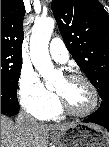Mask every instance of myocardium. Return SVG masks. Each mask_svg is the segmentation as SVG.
<instances>
[{
	"mask_svg": "<svg viewBox=\"0 0 109 147\" xmlns=\"http://www.w3.org/2000/svg\"><path fill=\"white\" fill-rule=\"evenodd\" d=\"M66 79L68 81L81 80V81L85 82L92 91L93 103L89 109H87L85 111H77L72 108L69 101L67 100V98L64 95L56 92L57 97H58V101H59V107L62 110H64L66 113H68L69 115H72V116L85 117V116L92 114L96 110V108L98 107V104H99V93H98V90L95 87V85L92 83V81L87 76H85L83 74H79V73L69 74L66 76Z\"/></svg>",
	"mask_w": 109,
	"mask_h": 147,
	"instance_id": "obj_1",
	"label": "myocardium"
}]
</instances>
